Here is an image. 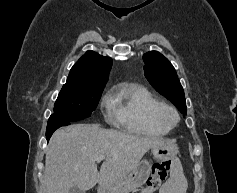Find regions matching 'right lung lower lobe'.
<instances>
[{
	"label": "right lung lower lobe",
	"mask_w": 237,
	"mask_h": 193,
	"mask_svg": "<svg viewBox=\"0 0 237 193\" xmlns=\"http://www.w3.org/2000/svg\"><path fill=\"white\" fill-rule=\"evenodd\" d=\"M70 124V121H67L65 119L59 118V117H50L48 120V125L46 129V139L49 141L51 135L53 132L58 129L61 126H67Z\"/></svg>",
	"instance_id": "98d812e1"
}]
</instances>
